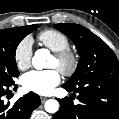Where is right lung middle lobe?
Listing matches in <instances>:
<instances>
[{
    "mask_svg": "<svg viewBox=\"0 0 119 119\" xmlns=\"http://www.w3.org/2000/svg\"><path fill=\"white\" fill-rule=\"evenodd\" d=\"M38 28L37 24L25 26L21 30H0V83L11 85L19 76L15 51L20 41Z\"/></svg>",
    "mask_w": 119,
    "mask_h": 119,
    "instance_id": "obj_1",
    "label": "right lung middle lobe"
}]
</instances>
